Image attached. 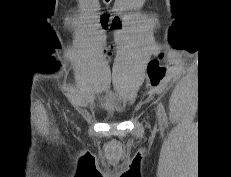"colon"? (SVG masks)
<instances>
[{
	"instance_id": "1",
	"label": "colon",
	"mask_w": 231,
	"mask_h": 177,
	"mask_svg": "<svg viewBox=\"0 0 231 177\" xmlns=\"http://www.w3.org/2000/svg\"><path fill=\"white\" fill-rule=\"evenodd\" d=\"M118 25H119V21L115 19L113 21V26H118ZM160 57L162 58L163 55H161ZM148 73H149V78H150L151 83L153 85H156L163 78L165 74V68L159 65L158 60H152L148 66Z\"/></svg>"
}]
</instances>
